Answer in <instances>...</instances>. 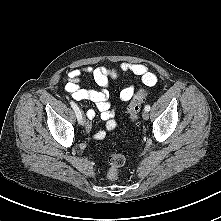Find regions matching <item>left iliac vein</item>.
I'll use <instances>...</instances> for the list:
<instances>
[{"mask_svg": "<svg viewBox=\"0 0 221 221\" xmlns=\"http://www.w3.org/2000/svg\"><path fill=\"white\" fill-rule=\"evenodd\" d=\"M142 117H143L144 120H148V118H149V113H148V111H146V110L143 111Z\"/></svg>", "mask_w": 221, "mask_h": 221, "instance_id": "1", "label": "left iliac vein"}]
</instances>
